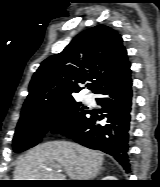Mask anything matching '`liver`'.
<instances>
[{"label":"liver","instance_id":"6515ba94","mask_svg":"<svg viewBox=\"0 0 160 187\" xmlns=\"http://www.w3.org/2000/svg\"><path fill=\"white\" fill-rule=\"evenodd\" d=\"M103 164V154L75 143L51 141L36 146L17 163L14 180H60L63 168L70 180H91Z\"/></svg>","mask_w":160,"mask_h":187}]
</instances>
